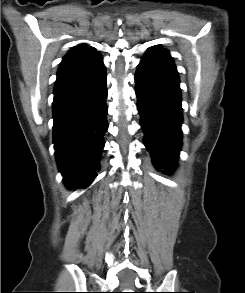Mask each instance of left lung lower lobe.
<instances>
[{"mask_svg": "<svg viewBox=\"0 0 245 293\" xmlns=\"http://www.w3.org/2000/svg\"><path fill=\"white\" fill-rule=\"evenodd\" d=\"M135 82L144 144L154 165L170 172L182 145L183 116L178 72L168 51L150 48L138 65Z\"/></svg>", "mask_w": 245, "mask_h": 293, "instance_id": "obj_1", "label": "left lung lower lobe"}]
</instances>
